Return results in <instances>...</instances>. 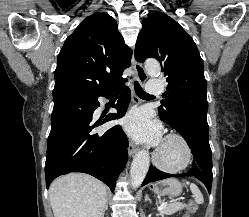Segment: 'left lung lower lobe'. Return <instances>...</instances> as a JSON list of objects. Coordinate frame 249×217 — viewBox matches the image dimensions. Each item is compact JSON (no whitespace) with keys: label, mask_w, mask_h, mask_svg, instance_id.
Wrapping results in <instances>:
<instances>
[{"label":"left lung lower lobe","mask_w":249,"mask_h":217,"mask_svg":"<svg viewBox=\"0 0 249 217\" xmlns=\"http://www.w3.org/2000/svg\"><path fill=\"white\" fill-rule=\"evenodd\" d=\"M175 128L186 140L194 161L191 170L182 174H168L150 166L142 186L176 176H193L199 179L211 193L212 185V152L209 145V131L206 115L186 114L181 116L178 126Z\"/></svg>","instance_id":"left-lung-lower-lobe-1"}]
</instances>
